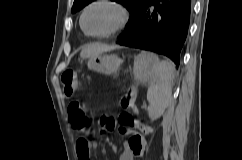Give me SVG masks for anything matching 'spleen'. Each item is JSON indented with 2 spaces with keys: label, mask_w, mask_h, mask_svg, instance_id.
I'll use <instances>...</instances> for the list:
<instances>
[{
  "label": "spleen",
  "mask_w": 242,
  "mask_h": 160,
  "mask_svg": "<svg viewBox=\"0 0 242 160\" xmlns=\"http://www.w3.org/2000/svg\"><path fill=\"white\" fill-rule=\"evenodd\" d=\"M151 60L152 77L147 93L150 103L149 109L155 111L162 107H167L171 100V82L174 77L175 67L171 62L160 61L159 58L149 53Z\"/></svg>",
  "instance_id": "spleen-1"
}]
</instances>
